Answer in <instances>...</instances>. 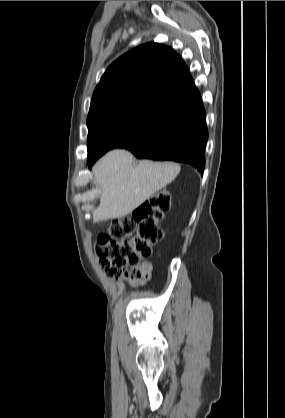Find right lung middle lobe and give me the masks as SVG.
Here are the masks:
<instances>
[{
  "mask_svg": "<svg viewBox=\"0 0 285 418\" xmlns=\"http://www.w3.org/2000/svg\"><path fill=\"white\" fill-rule=\"evenodd\" d=\"M170 108L145 101L107 105L88 115V160L120 148L160 121Z\"/></svg>",
  "mask_w": 285,
  "mask_h": 418,
  "instance_id": "obj_1",
  "label": "right lung middle lobe"
}]
</instances>
